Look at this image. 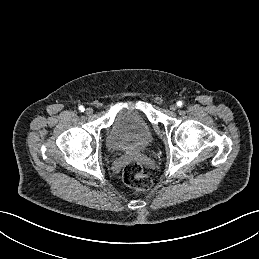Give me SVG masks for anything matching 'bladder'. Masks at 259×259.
I'll return each mask as SVG.
<instances>
[{"mask_svg": "<svg viewBox=\"0 0 259 259\" xmlns=\"http://www.w3.org/2000/svg\"><path fill=\"white\" fill-rule=\"evenodd\" d=\"M151 139V128L145 117L136 109H123L113 120L107 145L115 152L139 150L145 148Z\"/></svg>", "mask_w": 259, "mask_h": 259, "instance_id": "31cf9c89", "label": "bladder"}]
</instances>
